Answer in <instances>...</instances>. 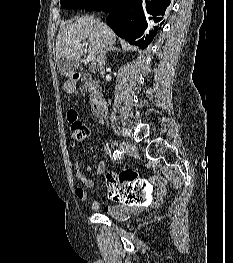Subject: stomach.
Listing matches in <instances>:
<instances>
[{"label":"stomach","instance_id":"obj_1","mask_svg":"<svg viewBox=\"0 0 233 263\" xmlns=\"http://www.w3.org/2000/svg\"><path fill=\"white\" fill-rule=\"evenodd\" d=\"M64 88L68 93H72L75 89V83L72 80H68L65 83Z\"/></svg>","mask_w":233,"mask_h":263}]
</instances>
